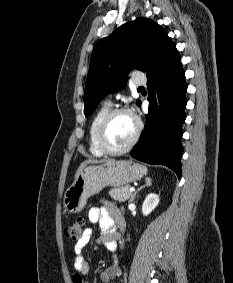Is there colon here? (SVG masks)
<instances>
[{
  "label": "colon",
  "instance_id": "1",
  "mask_svg": "<svg viewBox=\"0 0 233 283\" xmlns=\"http://www.w3.org/2000/svg\"><path fill=\"white\" fill-rule=\"evenodd\" d=\"M83 230L84 220L79 217L65 228L64 234L71 240H78L81 237Z\"/></svg>",
  "mask_w": 233,
  "mask_h": 283
}]
</instances>
